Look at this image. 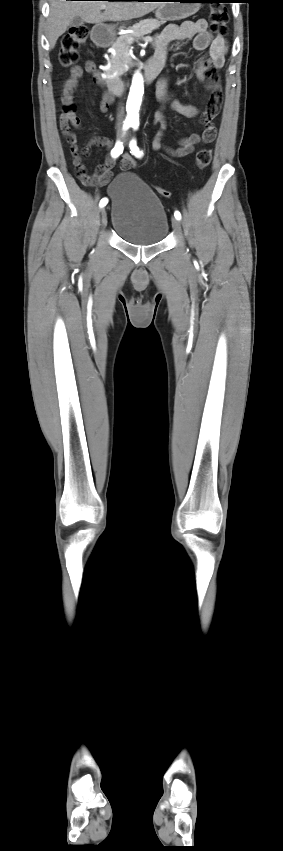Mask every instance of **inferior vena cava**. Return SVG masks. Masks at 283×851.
Wrapping results in <instances>:
<instances>
[{"label":"inferior vena cava","instance_id":"inferior-vena-cava-1","mask_svg":"<svg viewBox=\"0 0 283 851\" xmlns=\"http://www.w3.org/2000/svg\"><path fill=\"white\" fill-rule=\"evenodd\" d=\"M123 120H124V110H123V107L121 106L118 110V113H117V129L119 131L122 129Z\"/></svg>","mask_w":283,"mask_h":851}]
</instances>
